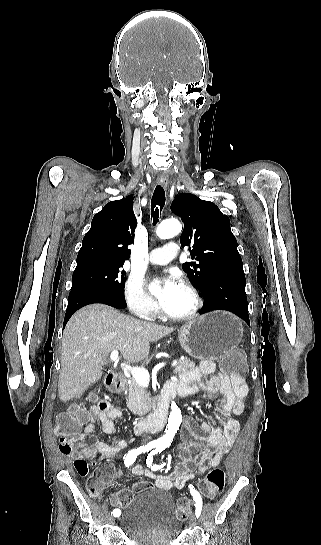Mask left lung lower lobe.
Segmentation results:
<instances>
[{
  "label": "left lung lower lobe",
  "mask_w": 321,
  "mask_h": 545,
  "mask_svg": "<svg viewBox=\"0 0 321 545\" xmlns=\"http://www.w3.org/2000/svg\"><path fill=\"white\" fill-rule=\"evenodd\" d=\"M245 285V275L241 267L215 274L201 291L204 305L200 313L227 310L239 316L250 326Z\"/></svg>",
  "instance_id": "1"
}]
</instances>
